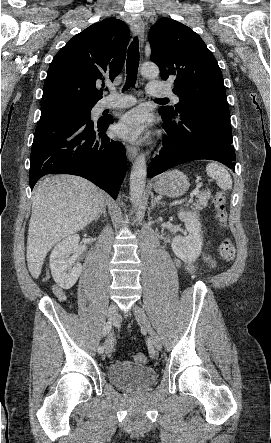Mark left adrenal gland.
Listing matches in <instances>:
<instances>
[{
    "instance_id": "a2214340",
    "label": "left adrenal gland",
    "mask_w": 271,
    "mask_h": 443,
    "mask_svg": "<svg viewBox=\"0 0 271 443\" xmlns=\"http://www.w3.org/2000/svg\"><path fill=\"white\" fill-rule=\"evenodd\" d=\"M156 204H162V202H160V200H157V198H155L154 194H151V206H150V210H153V208H155Z\"/></svg>"
}]
</instances>
